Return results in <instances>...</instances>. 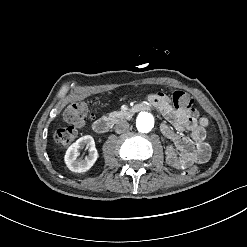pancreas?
Segmentation results:
<instances>
[{"mask_svg": "<svg viewBox=\"0 0 247 247\" xmlns=\"http://www.w3.org/2000/svg\"><path fill=\"white\" fill-rule=\"evenodd\" d=\"M105 115L110 121H118L123 116L124 117L131 116L130 114L123 112H111V113H106Z\"/></svg>", "mask_w": 247, "mask_h": 247, "instance_id": "pancreas-1", "label": "pancreas"}]
</instances>
